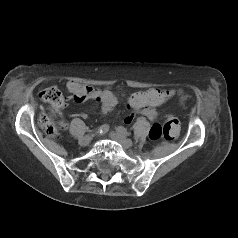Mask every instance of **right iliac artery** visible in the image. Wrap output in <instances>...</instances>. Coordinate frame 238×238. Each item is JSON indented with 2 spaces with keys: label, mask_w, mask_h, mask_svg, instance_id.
Instances as JSON below:
<instances>
[{
  "label": "right iliac artery",
  "mask_w": 238,
  "mask_h": 238,
  "mask_svg": "<svg viewBox=\"0 0 238 238\" xmlns=\"http://www.w3.org/2000/svg\"><path fill=\"white\" fill-rule=\"evenodd\" d=\"M108 130L109 126L107 124H104L97 129L96 134H105Z\"/></svg>",
  "instance_id": "1"
}]
</instances>
